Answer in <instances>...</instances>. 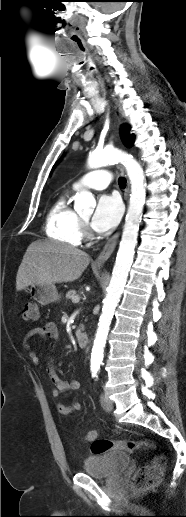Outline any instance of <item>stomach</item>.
<instances>
[{
  "label": "stomach",
  "mask_w": 186,
  "mask_h": 517,
  "mask_svg": "<svg viewBox=\"0 0 186 517\" xmlns=\"http://www.w3.org/2000/svg\"><path fill=\"white\" fill-rule=\"evenodd\" d=\"M29 293L41 305L57 302L61 298L54 284L31 285Z\"/></svg>",
  "instance_id": "0dacf381"
}]
</instances>
